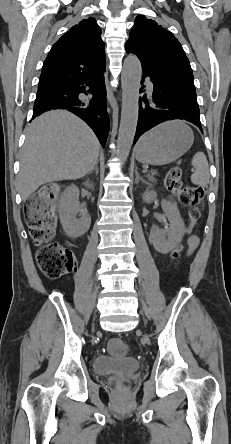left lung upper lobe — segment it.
<instances>
[{"label": "left lung upper lobe", "mask_w": 231, "mask_h": 444, "mask_svg": "<svg viewBox=\"0 0 231 444\" xmlns=\"http://www.w3.org/2000/svg\"><path fill=\"white\" fill-rule=\"evenodd\" d=\"M126 51L138 56L143 71L158 73L192 90L190 62L175 36L154 20L138 15L126 42Z\"/></svg>", "instance_id": "obj_1"}]
</instances>
